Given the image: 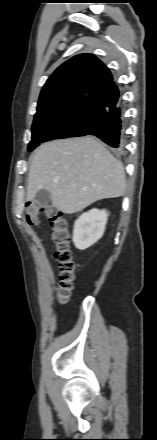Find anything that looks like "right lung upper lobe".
<instances>
[{
  "label": "right lung upper lobe",
  "instance_id": "obj_1",
  "mask_svg": "<svg viewBox=\"0 0 157 440\" xmlns=\"http://www.w3.org/2000/svg\"><path fill=\"white\" fill-rule=\"evenodd\" d=\"M119 103V90L109 69L94 55L80 54L49 77L41 91L34 122L74 120L87 126Z\"/></svg>",
  "mask_w": 157,
  "mask_h": 440
}]
</instances>
